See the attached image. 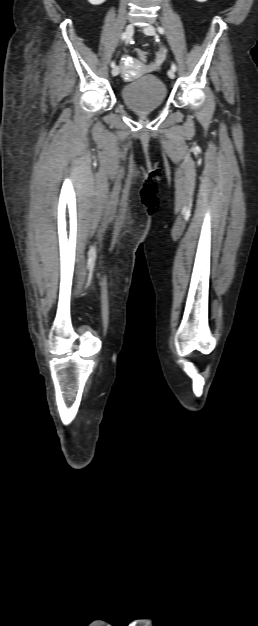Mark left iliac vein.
Segmentation results:
<instances>
[{
  "label": "left iliac vein",
  "mask_w": 258,
  "mask_h": 626,
  "mask_svg": "<svg viewBox=\"0 0 258 626\" xmlns=\"http://www.w3.org/2000/svg\"><path fill=\"white\" fill-rule=\"evenodd\" d=\"M143 32L146 35H151V36L155 35V33H156L155 28L152 25L145 26L143 28ZM168 76H169V78L174 79L175 78V72L172 69L168 70Z\"/></svg>",
  "instance_id": "1"
}]
</instances>
